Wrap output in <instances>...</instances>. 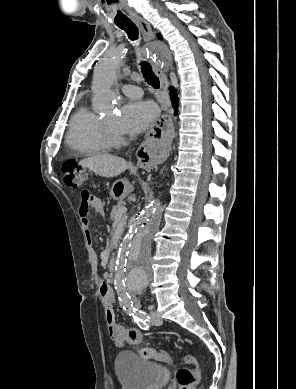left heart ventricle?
I'll return each instance as SVG.
<instances>
[{
    "mask_svg": "<svg viewBox=\"0 0 296 389\" xmlns=\"http://www.w3.org/2000/svg\"><path fill=\"white\" fill-rule=\"evenodd\" d=\"M105 120H106L110 125H112L114 128H116V122H117L116 117L110 116V117L105 118Z\"/></svg>",
    "mask_w": 296,
    "mask_h": 389,
    "instance_id": "obj_1",
    "label": "left heart ventricle"
}]
</instances>
